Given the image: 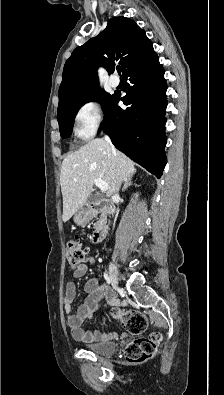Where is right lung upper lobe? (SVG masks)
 Returning a JSON list of instances; mask_svg holds the SVG:
<instances>
[{
	"label": "right lung upper lobe",
	"instance_id": "cb5924a9",
	"mask_svg": "<svg viewBox=\"0 0 224 395\" xmlns=\"http://www.w3.org/2000/svg\"><path fill=\"white\" fill-rule=\"evenodd\" d=\"M152 49V42L145 31L133 20L123 16L110 19L103 32L78 46L66 61L59 88L58 108L71 98L99 86V66L112 73L118 62L124 74Z\"/></svg>",
	"mask_w": 224,
	"mask_h": 395
}]
</instances>
